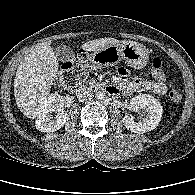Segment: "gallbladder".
Wrapping results in <instances>:
<instances>
[{"mask_svg":"<svg viewBox=\"0 0 195 195\" xmlns=\"http://www.w3.org/2000/svg\"><path fill=\"white\" fill-rule=\"evenodd\" d=\"M54 53L57 57V59L61 62H66L69 60H72L74 57L73 51L71 50L70 47L65 46V45H58L54 49Z\"/></svg>","mask_w":195,"mask_h":195,"instance_id":"1","label":"gallbladder"}]
</instances>
